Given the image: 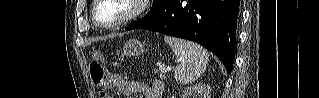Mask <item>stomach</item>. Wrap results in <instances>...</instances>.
<instances>
[{"instance_id": "0dacf381", "label": "stomach", "mask_w": 319, "mask_h": 98, "mask_svg": "<svg viewBox=\"0 0 319 98\" xmlns=\"http://www.w3.org/2000/svg\"><path fill=\"white\" fill-rule=\"evenodd\" d=\"M146 50L145 44L137 39H131L124 45V55L135 56L144 53Z\"/></svg>"}]
</instances>
